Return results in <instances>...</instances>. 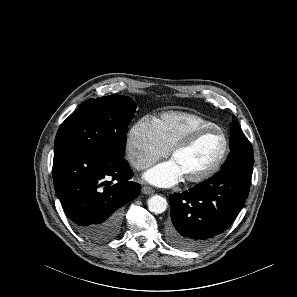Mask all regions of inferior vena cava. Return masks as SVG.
Segmentation results:
<instances>
[{
    "label": "inferior vena cava",
    "mask_w": 297,
    "mask_h": 297,
    "mask_svg": "<svg viewBox=\"0 0 297 297\" xmlns=\"http://www.w3.org/2000/svg\"><path fill=\"white\" fill-rule=\"evenodd\" d=\"M150 165H151V163L143 161V160L137 161L133 164L134 168H136L138 170L148 168Z\"/></svg>",
    "instance_id": "obj_1"
}]
</instances>
